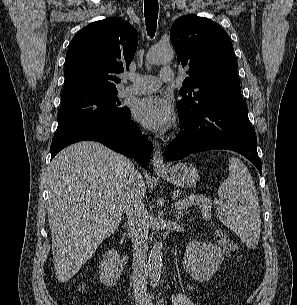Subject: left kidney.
<instances>
[{"mask_svg":"<svg viewBox=\"0 0 297 305\" xmlns=\"http://www.w3.org/2000/svg\"><path fill=\"white\" fill-rule=\"evenodd\" d=\"M224 261L217 246L210 242L193 241L186 247L184 268L196 280L206 282L211 279Z\"/></svg>","mask_w":297,"mask_h":305,"instance_id":"obj_1","label":"left kidney"}]
</instances>
